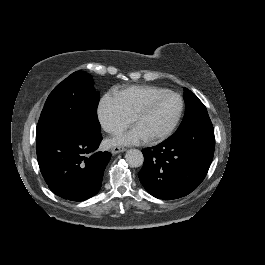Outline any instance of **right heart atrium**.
<instances>
[{
    "instance_id": "obj_1",
    "label": "right heart atrium",
    "mask_w": 265,
    "mask_h": 265,
    "mask_svg": "<svg viewBox=\"0 0 265 265\" xmlns=\"http://www.w3.org/2000/svg\"><path fill=\"white\" fill-rule=\"evenodd\" d=\"M97 114L101 127L110 134L121 132L133 122V116L127 114L112 95L101 100Z\"/></svg>"
}]
</instances>
